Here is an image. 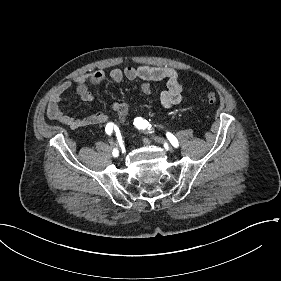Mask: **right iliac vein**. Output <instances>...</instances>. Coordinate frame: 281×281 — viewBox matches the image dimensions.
I'll return each instance as SVG.
<instances>
[{"mask_svg":"<svg viewBox=\"0 0 281 281\" xmlns=\"http://www.w3.org/2000/svg\"><path fill=\"white\" fill-rule=\"evenodd\" d=\"M119 147V150L123 151V147L120 144H117Z\"/></svg>","mask_w":281,"mask_h":281,"instance_id":"right-iliac-vein-1","label":"right iliac vein"}]
</instances>
